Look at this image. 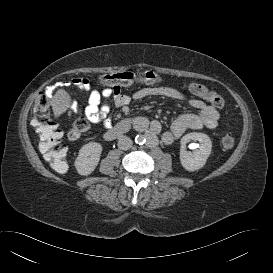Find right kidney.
<instances>
[{
  "label": "right kidney",
  "instance_id": "obj_1",
  "mask_svg": "<svg viewBox=\"0 0 273 273\" xmlns=\"http://www.w3.org/2000/svg\"><path fill=\"white\" fill-rule=\"evenodd\" d=\"M102 146L96 142H89L81 147L75 160V167L80 175L91 174L99 163Z\"/></svg>",
  "mask_w": 273,
  "mask_h": 273
}]
</instances>
